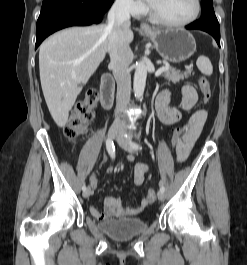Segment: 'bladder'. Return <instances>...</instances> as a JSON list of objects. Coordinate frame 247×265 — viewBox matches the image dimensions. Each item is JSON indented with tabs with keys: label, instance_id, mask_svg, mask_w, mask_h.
<instances>
[{
	"label": "bladder",
	"instance_id": "1",
	"mask_svg": "<svg viewBox=\"0 0 247 265\" xmlns=\"http://www.w3.org/2000/svg\"><path fill=\"white\" fill-rule=\"evenodd\" d=\"M98 227L110 238L125 241L143 233L148 224L139 218H122L100 221Z\"/></svg>",
	"mask_w": 247,
	"mask_h": 265
}]
</instances>
